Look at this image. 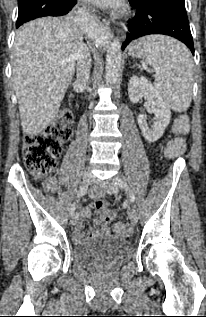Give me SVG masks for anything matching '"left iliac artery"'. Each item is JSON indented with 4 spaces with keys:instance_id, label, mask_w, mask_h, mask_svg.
<instances>
[{
    "instance_id": "44dca946",
    "label": "left iliac artery",
    "mask_w": 206,
    "mask_h": 317,
    "mask_svg": "<svg viewBox=\"0 0 206 317\" xmlns=\"http://www.w3.org/2000/svg\"><path fill=\"white\" fill-rule=\"evenodd\" d=\"M115 181L117 183V185L122 188L123 190L126 191V193L128 194L129 200L131 203H133L135 201V195L134 193L130 190V188L128 187L126 181L121 178V177H116Z\"/></svg>"
}]
</instances>
